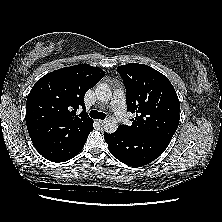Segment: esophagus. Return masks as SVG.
Wrapping results in <instances>:
<instances>
[{
	"label": "esophagus",
	"mask_w": 222,
	"mask_h": 222,
	"mask_svg": "<svg viewBox=\"0 0 222 222\" xmlns=\"http://www.w3.org/2000/svg\"><path fill=\"white\" fill-rule=\"evenodd\" d=\"M97 122L100 124V125H103L105 123L104 120H97Z\"/></svg>",
	"instance_id": "esophagus-1"
}]
</instances>
